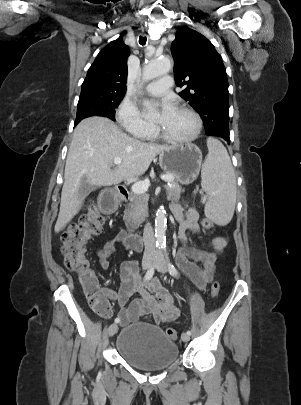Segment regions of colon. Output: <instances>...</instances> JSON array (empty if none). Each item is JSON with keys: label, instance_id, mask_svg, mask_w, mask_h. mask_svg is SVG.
<instances>
[{"label": "colon", "instance_id": "colon-1", "mask_svg": "<svg viewBox=\"0 0 301 405\" xmlns=\"http://www.w3.org/2000/svg\"><path fill=\"white\" fill-rule=\"evenodd\" d=\"M105 223V215L99 213L94 204H89L86 213L80 217L79 222L71 225L61 236L63 242L61 251L65 266L77 274L91 307L102 316L110 314V307L101 292L98 279L91 269L86 245L92 238L102 233ZM201 225L206 230L213 227V223L208 219H203ZM219 291V282H213L211 295L216 297ZM166 333L172 340L178 338L176 329L169 328Z\"/></svg>", "mask_w": 301, "mask_h": 405}]
</instances>
